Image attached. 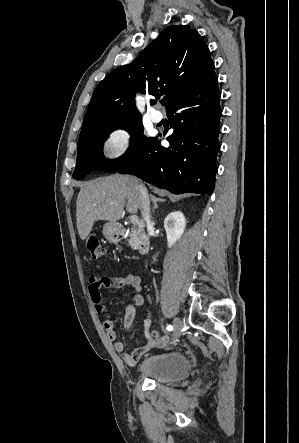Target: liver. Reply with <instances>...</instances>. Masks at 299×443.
Masks as SVG:
<instances>
[{
    "mask_svg": "<svg viewBox=\"0 0 299 443\" xmlns=\"http://www.w3.org/2000/svg\"><path fill=\"white\" fill-rule=\"evenodd\" d=\"M137 178L114 174L86 182L81 186L76 202V218L79 236L85 240L98 220L116 223L124 207L135 214L140 200L135 184Z\"/></svg>",
    "mask_w": 299,
    "mask_h": 443,
    "instance_id": "obj_1",
    "label": "liver"
}]
</instances>
